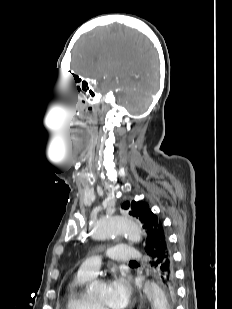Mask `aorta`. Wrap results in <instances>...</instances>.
I'll use <instances>...</instances> for the list:
<instances>
[{"label": "aorta", "mask_w": 232, "mask_h": 309, "mask_svg": "<svg viewBox=\"0 0 232 309\" xmlns=\"http://www.w3.org/2000/svg\"><path fill=\"white\" fill-rule=\"evenodd\" d=\"M124 234L132 242L141 241V229L133 219L122 216H111L100 219L93 226V238L102 240L105 238ZM101 287L100 282L94 281L90 285L91 290L97 291ZM144 294L151 303L152 309H170L168 300L162 289L154 282L146 281L143 288Z\"/></svg>", "instance_id": "1"}]
</instances>
